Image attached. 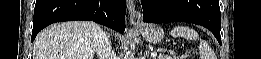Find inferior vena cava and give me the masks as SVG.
Wrapping results in <instances>:
<instances>
[{
  "mask_svg": "<svg viewBox=\"0 0 261 59\" xmlns=\"http://www.w3.org/2000/svg\"><path fill=\"white\" fill-rule=\"evenodd\" d=\"M95 48L99 59H117L116 54L111 48L108 36L100 26L96 25L93 30Z\"/></svg>",
  "mask_w": 261,
  "mask_h": 59,
  "instance_id": "602c4592",
  "label": "inferior vena cava"
}]
</instances>
